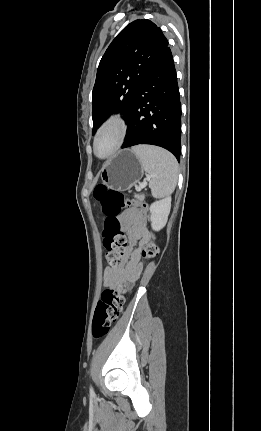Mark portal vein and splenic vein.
I'll return each mask as SVG.
<instances>
[{
  "instance_id": "18ae733b",
  "label": "portal vein and splenic vein",
  "mask_w": 261,
  "mask_h": 431,
  "mask_svg": "<svg viewBox=\"0 0 261 431\" xmlns=\"http://www.w3.org/2000/svg\"><path fill=\"white\" fill-rule=\"evenodd\" d=\"M147 180H149V178H147ZM147 185V182L142 183L137 189L141 190L142 188H144Z\"/></svg>"
}]
</instances>
